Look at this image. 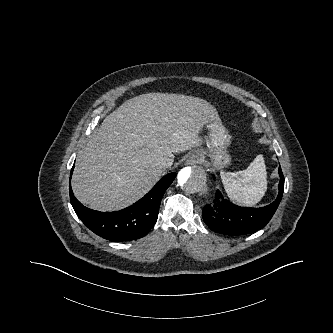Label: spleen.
Instances as JSON below:
<instances>
[{
	"instance_id": "spleen-1",
	"label": "spleen",
	"mask_w": 333,
	"mask_h": 333,
	"mask_svg": "<svg viewBox=\"0 0 333 333\" xmlns=\"http://www.w3.org/2000/svg\"><path fill=\"white\" fill-rule=\"evenodd\" d=\"M221 180L228 197L242 206H254L267 190V171L263 155H257L249 167L238 172L222 171Z\"/></svg>"
}]
</instances>
